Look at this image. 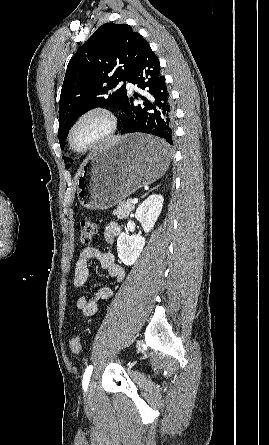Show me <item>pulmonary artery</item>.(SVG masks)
Listing matches in <instances>:
<instances>
[{
  "label": "pulmonary artery",
  "mask_w": 269,
  "mask_h": 445,
  "mask_svg": "<svg viewBox=\"0 0 269 445\" xmlns=\"http://www.w3.org/2000/svg\"><path fill=\"white\" fill-rule=\"evenodd\" d=\"M126 86H127L128 89H132L133 88V85L131 83H129V82L126 83Z\"/></svg>",
  "instance_id": "1"
}]
</instances>
